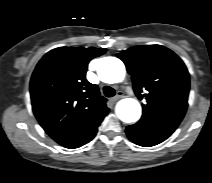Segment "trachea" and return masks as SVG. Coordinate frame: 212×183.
I'll use <instances>...</instances> for the list:
<instances>
[{
    "instance_id": "trachea-1",
    "label": "trachea",
    "mask_w": 212,
    "mask_h": 183,
    "mask_svg": "<svg viewBox=\"0 0 212 183\" xmlns=\"http://www.w3.org/2000/svg\"><path fill=\"white\" fill-rule=\"evenodd\" d=\"M103 93L106 97H113L115 95V90L110 86H105L103 88Z\"/></svg>"
}]
</instances>
